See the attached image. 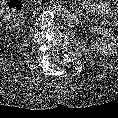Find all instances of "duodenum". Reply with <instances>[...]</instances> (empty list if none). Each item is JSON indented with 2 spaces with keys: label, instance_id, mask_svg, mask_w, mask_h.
I'll return each mask as SVG.
<instances>
[{
  "label": "duodenum",
  "instance_id": "410a0bca",
  "mask_svg": "<svg viewBox=\"0 0 118 118\" xmlns=\"http://www.w3.org/2000/svg\"><path fill=\"white\" fill-rule=\"evenodd\" d=\"M47 9L57 12L61 17H63L67 22L71 24L76 23V15L74 12L60 3H50L46 6Z\"/></svg>",
  "mask_w": 118,
  "mask_h": 118
}]
</instances>
